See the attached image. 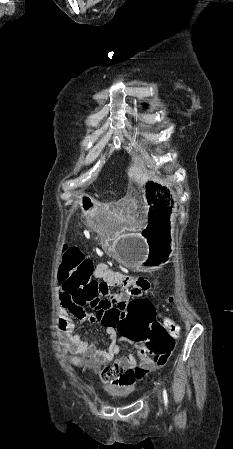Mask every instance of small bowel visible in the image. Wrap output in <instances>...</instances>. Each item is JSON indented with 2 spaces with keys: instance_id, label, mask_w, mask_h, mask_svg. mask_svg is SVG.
I'll return each mask as SVG.
<instances>
[{
  "instance_id": "small-bowel-1",
  "label": "small bowel",
  "mask_w": 233,
  "mask_h": 449,
  "mask_svg": "<svg viewBox=\"0 0 233 449\" xmlns=\"http://www.w3.org/2000/svg\"><path fill=\"white\" fill-rule=\"evenodd\" d=\"M94 277L99 280L95 296L99 298L97 305L100 308H124L128 301L137 299L143 291L151 289L150 280L144 274H122L112 270L106 263L99 262L94 268ZM58 295L63 309L81 323H100L93 313L85 308L77 307L69 294L64 291L61 276H59ZM115 287L113 293L109 287ZM162 319L163 328L171 332L179 331V327L172 319L157 315ZM75 323L68 320L64 326L65 339L68 351L77 356V360L93 367L103 381L115 390H124L141 381L149 372L162 368L168 361L169 355H152L149 349H135L134 352L119 356L121 338L116 328H105L109 335V343L105 349H100L94 342L84 341L74 333Z\"/></svg>"
}]
</instances>
